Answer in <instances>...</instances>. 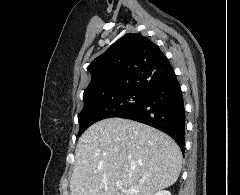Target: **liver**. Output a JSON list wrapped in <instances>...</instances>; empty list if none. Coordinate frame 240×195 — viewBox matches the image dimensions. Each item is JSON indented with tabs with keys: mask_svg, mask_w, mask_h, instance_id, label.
<instances>
[{
	"mask_svg": "<svg viewBox=\"0 0 240 195\" xmlns=\"http://www.w3.org/2000/svg\"><path fill=\"white\" fill-rule=\"evenodd\" d=\"M181 167V149L167 133L132 119L107 117L78 139L70 193L151 195L175 183ZM116 181L136 193L117 189Z\"/></svg>",
	"mask_w": 240,
	"mask_h": 195,
	"instance_id": "6515ba94",
	"label": "liver"
}]
</instances>
